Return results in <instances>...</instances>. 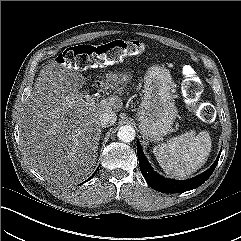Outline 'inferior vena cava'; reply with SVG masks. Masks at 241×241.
I'll return each instance as SVG.
<instances>
[{
	"mask_svg": "<svg viewBox=\"0 0 241 241\" xmlns=\"http://www.w3.org/2000/svg\"><path fill=\"white\" fill-rule=\"evenodd\" d=\"M117 116L112 111L102 112L98 115V125L101 127H108L115 123Z\"/></svg>",
	"mask_w": 241,
	"mask_h": 241,
	"instance_id": "1",
	"label": "inferior vena cava"
}]
</instances>
